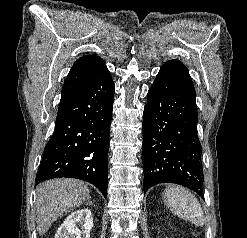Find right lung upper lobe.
Segmentation results:
<instances>
[{"mask_svg":"<svg viewBox=\"0 0 247 238\" xmlns=\"http://www.w3.org/2000/svg\"><path fill=\"white\" fill-rule=\"evenodd\" d=\"M104 67H106V65L103 60L96 54L85 55L79 58L73 64L65 79L61 92V100H64L81 88Z\"/></svg>","mask_w":247,"mask_h":238,"instance_id":"right-lung-upper-lobe-1","label":"right lung upper lobe"}]
</instances>
